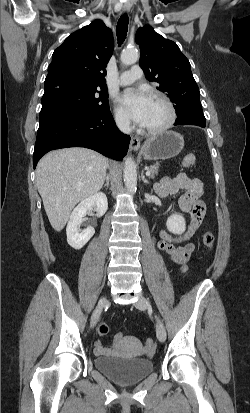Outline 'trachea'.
I'll return each instance as SVG.
<instances>
[{"instance_id": "trachea-1", "label": "trachea", "mask_w": 250, "mask_h": 413, "mask_svg": "<svg viewBox=\"0 0 250 413\" xmlns=\"http://www.w3.org/2000/svg\"><path fill=\"white\" fill-rule=\"evenodd\" d=\"M128 15L127 14H123L117 23V40H118V44L121 45L126 36H127V31H128Z\"/></svg>"}]
</instances>
